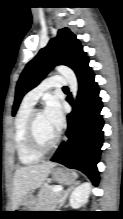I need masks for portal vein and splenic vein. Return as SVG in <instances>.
Returning <instances> with one entry per match:
<instances>
[{
    "mask_svg": "<svg viewBox=\"0 0 123 219\" xmlns=\"http://www.w3.org/2000/svg\"><path fill=\"white\" fill-rule=\"evenodd\" d=\"M63 190V187L62 186H54L53 188V193H57V192H60Z\"/></svg>",
    "mask_w": 123,
    "mask_h": 219,
    "instance_id": "portal-vein-and-splenic-vein-1",
    "label": "portal vein and splenic vein"
}]
</instances>
